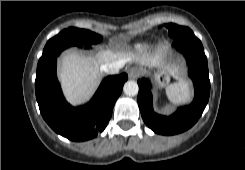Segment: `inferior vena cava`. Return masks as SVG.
I'll return each instance as SVG.
<instances>
[{
    "label": "inferior vena cava",
    "instance_id": "602c4592",
    "mask_svg": "<svg viewBox=\"0 0 245 170\" xmlns=\"http://www.w3.org/2000/svg\"><path fill=\"white\" fill-rule=\"evenodd\" d=\"M120 68L121 66L119 63H110L102 66V70L108 74H117L119 73Z\"/></svg>",
    "mask_w": 245,
    "mask_h": 170
}]
</instances>
